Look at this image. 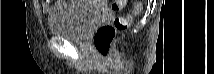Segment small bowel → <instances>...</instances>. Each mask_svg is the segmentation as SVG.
<instances>
[{
	"mask_svg": "<svg viewBox=\"0 0 214 74\" xmlns=\"http://www.w3.org/2000/svg\"><path fill=\"white\" fill-rule=\"evenodd\" d=\"M69 5H71V2L68 1H57L54 6H52L49 2H42L41 8L45 14L53 15L56 12V10L67 7Z\"/></svg>",
	"mask_w": 214,
	"mask_h": 74,
	"instance_id": "1",
	"label": "small bowel"
}]
</instances>
